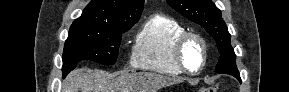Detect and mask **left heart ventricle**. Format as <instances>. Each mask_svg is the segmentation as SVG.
Returning <instances> with one entry per match:
<instances>
[{"mask_svg":"<svg viewBox=\"0 0 289 92\" xmlns=\"http://www.w3.org/2000/svg\"><path fill=\"white\" fill-rule=\"evenodd\" d=\"M183 59H184L185 65L190 70L198 69L202 62L201 45L195 40L188 41L184 47Z\"/></svg>","mask_w":289,"mask_h":92,"instance_id":"left-heart-ventricle-1","label":"left heart ventricle"}]
</instances>
